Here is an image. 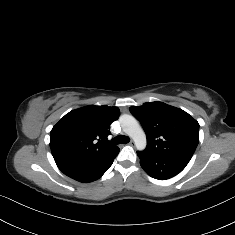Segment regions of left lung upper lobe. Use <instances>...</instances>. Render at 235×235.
Instances as JSON below:
<instances>
[{"instance_id": "5c2ea615", "label": "left lung upper lobe", "mask_w": 235, "mask_h": 235, "mask_svg": "<svg viewBox=\"0 0 235 235\" xmlns=\"http://www.w3.org/2000/svg\"><path fill=\"white\" fill-rule=\"evenodd\" d=\"M147 135L144 151L188 163L199 143V124L187 112L163 102L132 106Z\"/></svg>"}]
</instances>
